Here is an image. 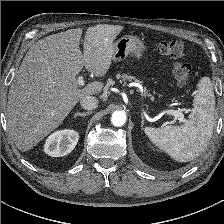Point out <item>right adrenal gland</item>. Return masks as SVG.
Wrapping results in <instances>:
<instances>
[{
  "label": "right adrenal gland",
  "instance_id": "obj_1",
  "mask_svg": "<svg viewBox=\"0 0 224 224\" xmlns=\"http://www.w3.org/2000/svg\"><path fill=\"white\" fill-rule=\"evenodd\" d=\"M91 112L90 111H88V112H77V113H75V115H74V118H76L77 116H80V117H85V116H87V115H89Z\"/></svg>",
  "mask_w": 224,
  "mask_h": 224
}]
</instances>
